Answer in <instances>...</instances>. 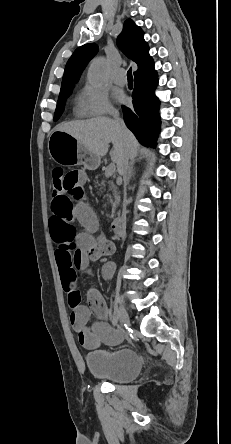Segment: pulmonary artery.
Returning a JSON list of instances; mask_svg holds the SVG:
<instances>
[{
  "instance_id": "pulmonary-artery-1",
  "label": "pulmonary artery",
  "mask_w": 231,
  "mask_h": 444,
  "mask_svg": "<svg viewBox=\"0 0 231 444\" xmlns=\"http://www.w3.org/2000/svg\"><path fill=\"white\" fill-rule=\"evenodd\" d=\"M114 83L118 86H124L127 82L125 77V71L123 69L118 70L113 77Z\"/></svg>"
}]
</instances>
